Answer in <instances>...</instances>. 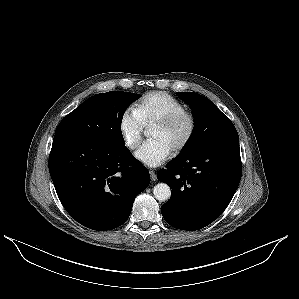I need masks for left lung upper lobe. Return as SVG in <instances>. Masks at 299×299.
<instances>
[{"label": "left lung upper lobe", "mask_w": 299, "mask_h": 299, "mask_svg": "<svg viewBox=\"0 0 299 299\" xmlns=\"http://www.w3.org/2000/svg\"><path fill=\"white\" fill-rule=\"evenodd\" d=\"M176 95L192 109L193 132L177 157L196 154L209 144L237 132L231 120L208 98L193 92H176Z\"/></svg>", "instance_id": "1"}]
</instances>
